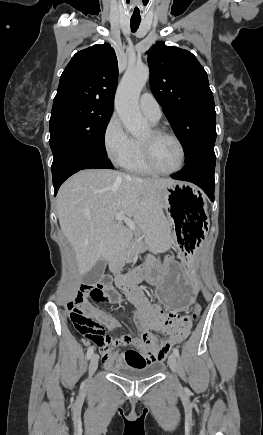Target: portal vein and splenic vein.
<instances>
[{"label": "portal vein and splenic vein", "mask_w": 263, "mask_h": 435, "mask_svg": "<svg viewBox=\"0 0 263 435\" xmlns=\"http://www.w3.org/2000/svg\"><path fill=\"white\" fill-rule=\"evenodd\" d=\"M115 219L118 222H125V224L131 229V230H135L136 229V225L133 222V220L129 217L126 216V214L124 212H119L115 215Z\"/></svg>", "instance_id": "18ae733b"}]
</instances>
